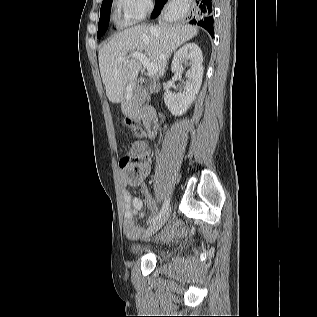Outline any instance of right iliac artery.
<instances>
[{
	"instance_id": "1",
	"label": "right iliac artery",
	"mask_w": 317,
	"mask_h": 317,
	"mask_svg": "<svg viewBox=\"0 0 317 317\" xmlns=\"http://www.w3.org/2000/svg\"><path fill=\"white\" fill-rule=\"evenodd\" d=\"M169 203H170V200L168 198L165 199L162 209L160 210V213L153 219V222L157 221L165 214V212L168 210Z\"/></svg>"
}]
</instances>
